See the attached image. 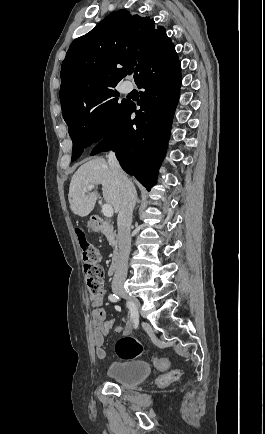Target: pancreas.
Wrapping results in <instances>:
<instances>
[{"label":"pancreas","instance_id":"cf45deb5","mask_svg":"<svg viewBox=\"0 0 265 434\" xmlns=\"http://www.w3.org/2000/svg\"><path fill=\"white\" fill-rule=\"evenodd\" d=\"M105 236L109 242V246H112V248H114V250H116V248H117V240H115L116 236H113V234H110V232H108V228L105 232Z\"/></svg>","mask_w":265,"mask_h":434}]
</instances>
